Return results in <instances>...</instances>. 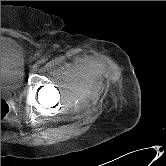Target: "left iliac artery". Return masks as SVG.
<instances>
[{
  "label": "left iliac artery",
  "instance_id": "obj_1",
  "mask_svg": "<svg viewBox=\"0 0 166 166\" xmlns=\"http://www.w3.org/2000/svg\"><path fill=\"white\" fill-rule=\"evenodd\" d=\"M45 62H46L45 59H41V60L39 61V64H44Z\"/></svg>",
  "mask_w": 166,
  "mask_h": 166
}]
</instances>
